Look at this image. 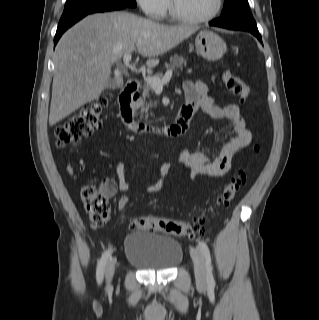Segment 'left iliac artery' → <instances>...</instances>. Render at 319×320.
<instances>
[{"instance_id":"44dca946","label":"left iliac artery","mask_w":319,"mask_h":320,"mask_svg":"<svg viewBox=\"0 0 319 320\" xmlns=\"http://www.w3.org/2000/svg\"><path fill=\"white\" fill-rule=\"evenodd\" d=\"M198 247H199L202 255L205 258L206 272H207V283L209 286L214 287L215 280H214L213 273H212L213 267H212V262H211L210 250L204 241H199Z\"/></svg>"}]
</instances>
